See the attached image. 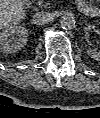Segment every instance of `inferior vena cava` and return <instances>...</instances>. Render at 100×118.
Wrapping results in <instances>:
<instances>
[{"label": "inferior vena cava", "mask_w": 100, "mask_h": 118, "mask_svg": "<svg viewBox=\"0 0 100 118\" xmlns=\"http://www.w3.org/2000/svg\"><path fill=\"white\" fill-rule=\"evenodd\" d=\"M51 21V17L48 13L38 12L33 16V23L36 25H45Z\"/></svg>", "instance_id": "obj_1"}]
</instances>
